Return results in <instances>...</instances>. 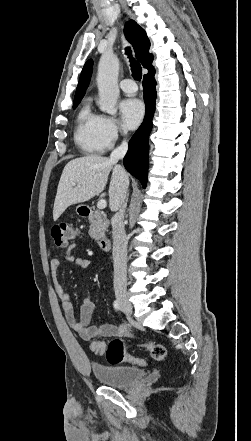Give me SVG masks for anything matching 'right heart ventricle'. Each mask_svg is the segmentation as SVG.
Wrapping results in <instances>:
<instances>
[{
	"label": "right heart ventricle",
	"instance_id": "right-heart-ventricle-1",
	"mask_svg": "<svg viewBox=\"0 0 251 441\" xmlns=\"http://www.w3.org/2000/svg\"><path fill=\"white\" fill-rule=\"evenodd\" d=\"M99 123L100 115L88 104L83 105L77 115L74 141L86 154H99L108 148L100 135Z\"/></svg>",
	"mask_w": 251,
	"mask_h": 441
}]
</instances>
